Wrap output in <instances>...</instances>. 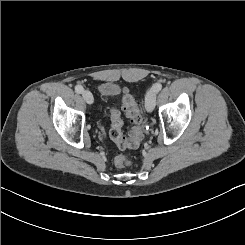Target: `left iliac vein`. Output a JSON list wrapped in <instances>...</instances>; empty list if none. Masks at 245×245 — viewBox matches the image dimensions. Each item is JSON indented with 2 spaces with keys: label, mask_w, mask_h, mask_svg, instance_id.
<instances>
[{
  "label": "left iliac vein",
  "mask_w": 245,
  "mask_h": 245,
  "mask_svg": "<svg viewBox=\"0 0 245 245\" xmlns=\"http://www.w3.org/2000/svg\"><path fill=\"white\" fill-rule=\"evenodd\" d=\"M157 92L154 89L148 91L145 99V107L148 112L155 108Z\"/></svg>",
  "instance_id": "left-iliac-vein-1"
}]
</instances>
